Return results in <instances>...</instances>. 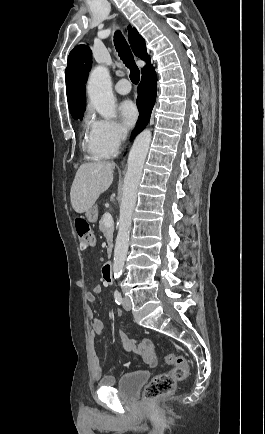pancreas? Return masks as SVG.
Segmentation results:
<instances>
[{
	"label": "pancreas",
	"mask_w": 265,
	"mask_h": 434,
	"mask_svg": "<svg viewBox=\"0 0 265 434\" xmlns=\"http://www.w3.org/2000/svg\"><path fill=\"white\" fill-rule=\"evenodd\" d=\"M99 230L100 232H103L106 240H107V244H108V254L110 256L111 254V250L113 248V232H114V228L113 226H110V228H107V226H105L103 220H100L99 222Z\"/></svg>",
	"instance_id": "pancreas-1"
}]
</instances>
